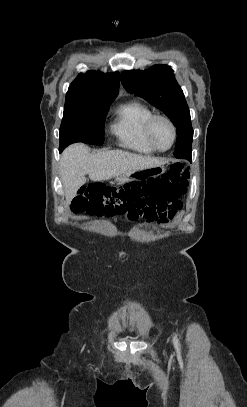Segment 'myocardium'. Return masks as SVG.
<instances>
[{"label": "myocardium", "mask_w": 247, "mask_h": 407, "mask_svg": "<svg viewBox=\"0 0 247 407\" xmlns=\"http://www.w3.org/2000/svg\"><path fill=\"white\" fill-rule=\"evenodd\" d=\"M157 120L165 121L166 123H168V125L170 126V128L172 130V134H173L172 141H171V144L167 148H160L156 144V142H155V140L153 138V125ZM145 135H146V138H147L148 142L150 143V145L156 151L164 152V151L169 150L174 145V143L176 141V138H177V129H176L175 124L173 123V121L169 117H167L165 115H161V114H152L149 117V119L147 120V122H146Z\"/></svg>", "instance_id": "1"}]
</instances>
